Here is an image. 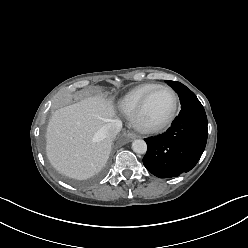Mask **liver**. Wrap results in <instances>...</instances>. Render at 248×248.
<instances>
[{
    "label": "liver",
    "instance_id": "6515ba94",
    "mask_svg": "<svg viewBox=\"0 0 248 248\" xmlns=\"http://www.w3.org/2000/svg\"><path fill=\"white\" fill-rule=\"evenodd\" d=\"M115 115L111 101L90 97L58 109L46 133V152L52 166L67 177L83 180L106 164L112 147L103 128Z\"/></svg>",
    "mask_w": 248,
    "mask_h": 248
}]
</instances>
